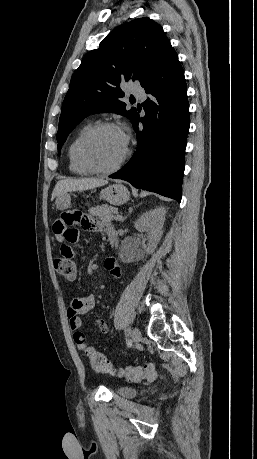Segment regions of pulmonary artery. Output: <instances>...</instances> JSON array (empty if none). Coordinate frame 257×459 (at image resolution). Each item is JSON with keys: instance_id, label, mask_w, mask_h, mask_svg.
I'll use <instances>...</instances> for the list:
<instances>
[{"instance_id": "1", "label": "pulmonary artery", "mask_w": 257, "mask_h": 459, "mask_svg": "<svg viewBox=\"0 0 257 459\" xmlns=\"http://www.w3.org/2000/svg\"><path fill=\"white\" fill-rule=\"evenodd\" d=\"M132 92H133V94L136 95L139 99H142V98H144V96H145V92H144V90L141 89V88H133V89H132Z\"/></svg>"}]
</instances>
